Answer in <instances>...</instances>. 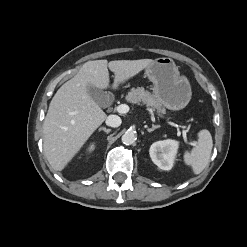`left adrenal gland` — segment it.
<instances>
[{
  "label": "left adrenal gland",
  "mask_w": 247,
  "mask_h": 247,
  "mask_svg": "<svg viewBox=\"0 0 247 247\" xmlns=\"http://www.w3.org/2000/svg\"><path fill=\"white\" fill-rule=\"evenodd\" d=\"M159 127H160L159 125H152L151 128H147V131H148V132H152V131H154L155 129H157V128H159Z\"/></svg>",
  "instance_id": "left-adrenal-gland-1"
}]
</instances>
